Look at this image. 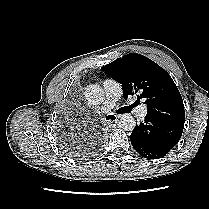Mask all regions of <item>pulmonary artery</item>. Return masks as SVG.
<instances>
[{
  "label": "pulmonary artery",
  "mask_w": 209,
  "mask_h": 209,
  "mask_svg": "<svg viewBox=\"0 0 209 209\" xmlns=\"http://www.w3.org/2000/svg\"><path fill=\"white\" fill-rule=\"evenodd\" d=\"M103 89L105 91V100L99 109V112L101 113L111 110L122 95L121 86L112 79H106L103 81ZM136 112L141 118L145 117L147 114V110L144 105L138 107Z\"/></svg>",
  "instance_id": "obj_1"
}]
</instances>
